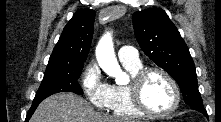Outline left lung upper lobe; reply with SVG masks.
Wrapping results in <instances>:
<instances>
[{
    "label": "left lung upper lobe",
    "mask_w": 221,
    "mask_h": 122,
    "mask_svg": "<svg viewBox=\"0 0 221 122\" xmlns=\"http://www.w3.org/2000/svg\"><path fill=\"white\" fill-rule=\"evenodd\" d=\"M136 39L144 53L178 83L183 99L203 109L194 62L178 29L161 8L137 11L132 16Z\"/></svg>",
    "instance_id": "obj_1"
}]
</instances>
